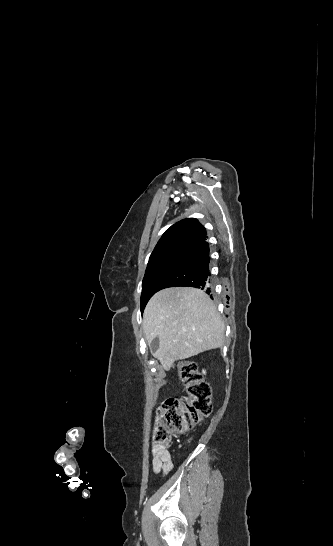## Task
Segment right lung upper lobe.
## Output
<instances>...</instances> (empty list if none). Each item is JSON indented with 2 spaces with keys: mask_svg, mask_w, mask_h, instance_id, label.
I'll list each match as a JSON object with an SVG mask.
<instances>
[{
  "mask_svg": "<svg viewBox=\"0 0 333 546\" xmlns=\"http://www.w3.org/2000/svg\"><path fill=\"white\" fill-rule=\"evenodd\" d=\"M206 239V229L197 219H183L165 231L151 255L169 249L189 250Z\"/></svg>",
  "mask_w": 333,
  "mask_h": 546,
  "instance_id": "cb5924a9",
  "label": "right lung upper lobe"
}]
</instances>
